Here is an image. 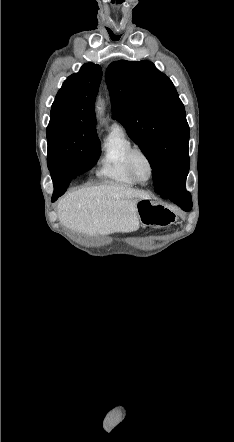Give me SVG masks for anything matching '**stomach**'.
Instances as JSON below:
<instances>
[{
    "label": "stomach",
    "mask_w": 234,
    "mask_h": 442,
    "mask_svg": "<svg viewBox=\"0 0 234 442\" xmlns=\"http://www.w3.org/2000/svg\"><path fill=\"white\" fill-rule=\"evenodd\" d=\"M136 210L139 222L144 226H168L177 220L174 210L151 199L138 200Z\"/></svg>",
    "instance_id": "1"
}]
</instances>
